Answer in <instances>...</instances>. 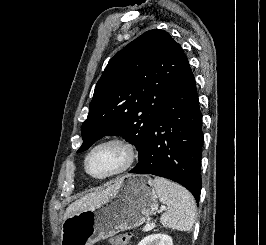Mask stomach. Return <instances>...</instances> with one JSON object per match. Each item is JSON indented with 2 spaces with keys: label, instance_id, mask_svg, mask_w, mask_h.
<instances>
[{
  "label": "stomach",
  "instance_id": "0dacf381",
  "mask_svg": "<svg viewBox=\"0 0 266 245\" xmlns=\"http://www.w3.org/2000/svg\"><path fill=\"white\" fill-rule=\"evenodd\" d=\"M114 185L107 203L65 219L61 245H94L120 231L136 229L156 211L157 193L148 175H123Z\"/></svg>",
  "mask_w": 266,
  "mask_h": 245
}]
</instances>
